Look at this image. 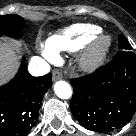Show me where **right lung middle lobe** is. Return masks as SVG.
I'll list each match as a JSON object with an SVG mask.
<instances>
[{
	"label": "right lung middle lobe",
	"instance_id": "dd1d6c3e",
	"mask_svg": "<svg viewBox=\"0 0 136 136\" xmlns=\"http://www.w3.org/2000/svg\"><path fill=\"white\" fill-rule=\"evenodd\" d=\"M23 27V19L18 15L0 16V37L3 35L17 37Z\"/></svg>",
	"mask_w": 136,
	"mask_h": 136
}]
</instances>
